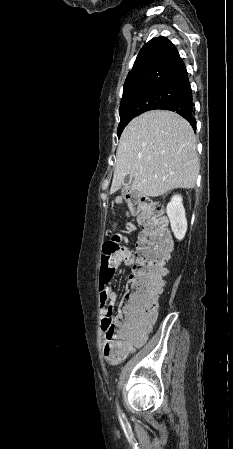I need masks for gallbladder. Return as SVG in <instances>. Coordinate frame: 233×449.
<instances>
[{
    "label": "gallbladder",
    "instance_id": "obj_1",
    "mask_svg": "<svg viewBox=\"0 0 233 449\" xmlns=\"http://www.w3.org/2000/svg\"><path fill=\"white\" fill-rule=\"evenodd\" d=\"M130 181H131L130 177L127 176V177L125 178V180H124V183H123V186H124V188H123V190H122L123 195L129 194L132 198L139 197V196H140L139 193H137V192H135V191H129V190H128ZM128 191H129V192H128Z\"/></svg>",
    "mask_w": 233,
    "mask_h": 449
}]
</instances>
